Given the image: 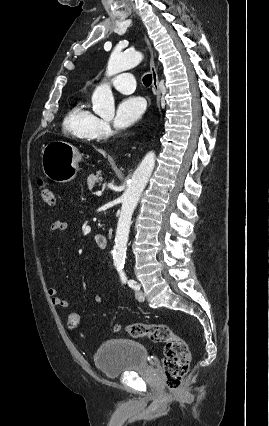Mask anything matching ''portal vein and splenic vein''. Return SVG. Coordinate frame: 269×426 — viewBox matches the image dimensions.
<instances>
[{
    "label": "portal vein and splenic vein",
    "instance_id": "1",
    "mask_svg": "<svg viewBox=\"0 0 269 426\" xmlns=\"http://www.w3.org/2000/svg\"><path fill=\"white\" fill-rule=\"evenodd\" d=\"M96 195H97V196H101V195H102V192H101V191H97V192H96Z\"/></svg>",
    "mask_w": 269,
    "mask_h": 426
}]
</instances>
